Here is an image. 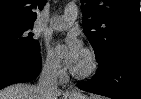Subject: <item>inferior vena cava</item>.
Wrapping results in <instances>:
<instances>
[{"instance_id": "1", "label": "inferior vena cava", "mask_w": 141, "mask_h": 99, "mask_svg": "<svg viewBox=\"0 0 141 99\" xmlns=\"http://www.w3.org/2000/svg\"><path fill=\"white\" fill-rule=\"evenodd\" d=\"M58 75L59 66L57 64H44L37 83V88L45 94H49L52 91L57 90Z\"/></svg>"}]
</instances>
